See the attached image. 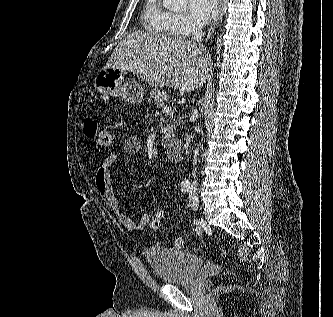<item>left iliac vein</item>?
Returning a JSON list of instances; mask_svg holds the SVG:
<instances>
[{
  "label": "left iliac vein",
  "mask_w": 333,
  "mask_h": 317,
  "mask_svg": "<svg viewBox=\"0 0 333 317\" xmlns=\"http://www.w3.org/2000/svg\"><path fill=\"white\" fill-rule=\"evenodd\" d=\"M190 206L193 210H197L199 206L198 195L196 192H191L189 195Z\"/></svg>",
  "instance_id": "4c4485c4"
}]
</instances>
